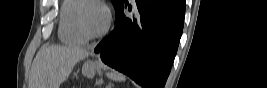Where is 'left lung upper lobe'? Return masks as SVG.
Returning <instances> with one entry per match:
<instances>
[{
	"instance_id": "5c2ea615",
	"label": "left lung upper lobe",
	"mask_w": 267,
	"mask_h": 88,
	"mask_svg": "<svg viewBox=\"0 0 267 88\" xmlns=\"http://www.w3.org/2000/svg\"><path fill=\"white\" fill-rule=\"evenodd\" d=\"M114 8L117 9L125 0H111Z\"/></svg>"
}]
</instances>
